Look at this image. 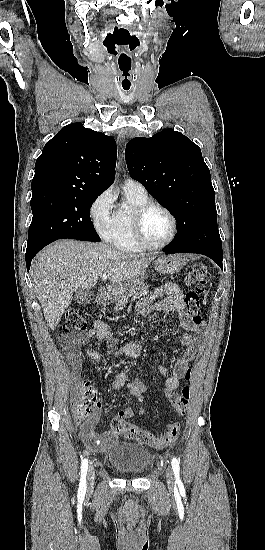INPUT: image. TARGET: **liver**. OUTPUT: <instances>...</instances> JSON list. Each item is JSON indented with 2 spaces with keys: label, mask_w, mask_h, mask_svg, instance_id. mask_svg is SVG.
Here are the masks:
<instances>
[{
  "label": "liver",
  "mask_w": 265,
  "mask_h": 550,
  "mask_svg": "<svg viewBox=\"0 0 265 550\" xmlns=\"http://www.w3.org/2000/svg\"><path fill=\"white\" fill-rule=\"evenodd\" d=\"M152 260V256L128 255L104 243L66 239L47 246L34 259L31 276L48 326L55 330L77 290L91 289L106 274L121 297Z\"/></svg>",
  "instance_id": "liver-1"
}]
</instances>
